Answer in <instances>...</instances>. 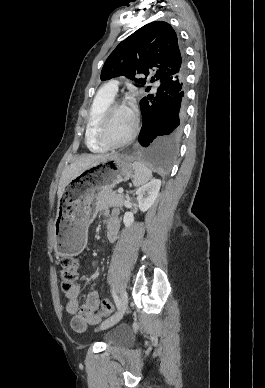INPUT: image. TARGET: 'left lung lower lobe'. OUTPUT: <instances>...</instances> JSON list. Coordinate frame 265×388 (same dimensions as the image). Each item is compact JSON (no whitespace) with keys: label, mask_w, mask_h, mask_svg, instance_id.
Segmentation results:
<instances>
[{"label":"left lung lower lobe","mask_w":265,"mask_h":388,"mask_svg":"<svg viewBox=\"0 0 265 388\" xmlns=\"http://www.w3.org/2000/svg\"><path fill=\"white\" fill-rule=\"evenodd\" d=\"M186 70L161 82L155 95L140 101L142 127L138 141L141 159L169 170L182 134L186 109Z\"/></svg>","instance_id":"left-lung-lower-lobe-1"}]
</instances>
